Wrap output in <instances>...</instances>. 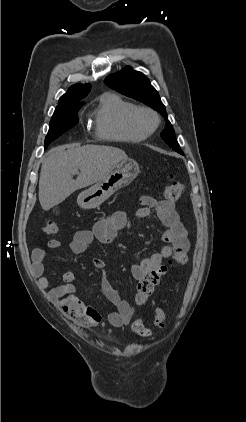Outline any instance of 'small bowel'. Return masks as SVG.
Segmentation results:
<instances>
[{
	"instance_id": "small-bowel-1",
	"label": "small bowel",
	"mask_w": 246,
	"mask_h": 422,
	"mask_svg": "<svg viewBox=\"0 0 246 422\" xmlns=\"http://www.w3.org/2000/svg\"><path fill=\"white\" fill-rule=\"evenodd\" d=\"M153 209L156 210L160 221L166 227L162 234V241L166 245L150 257L131 266L132 275L136 280L141 279L149 271L160 267L163 260L178 253L187 254L189 250L187 232L175 209L174 202L171 200H157L148 195L143 196L141 198V207L136 211L135 217L138 219L145 218ZM131 225L132 222L125 212H114L97 221L91 229L77 231L70 242V249L73 254L80 255L86 251L94 240L104 244L111 243L118 231L123 228H130ZM60 246L59 240L52 239L48 242L50 249H58ZM45 258L46 252L44 249L37 248L33 250V273L38 277L39 286L48 290L49 299L59 306L71 320L85 328L97 326L102 320L101 314L74 296V293L78 290L74 274L66 272L63 275L64 283L52 287L49 278L44 275ZM92 262L97 269L102 270L105 267V262L100 258H94ZM99 289L116 307L115 311L108 314L110 324L114 327L128 325L134 312L130 304L121 298L118 290L104 276L100 279Z\"/></svg>"
}]
</instances>
